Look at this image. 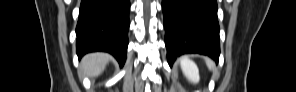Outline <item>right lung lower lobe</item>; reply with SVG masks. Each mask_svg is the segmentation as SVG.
Segmentation results:
<instances>
[{"label": "right lung lower lobe", "instance_id": "right-lung-lower-lobe-1", "mask_svg": "<svg viewBox=\"0 0 296 92\" xmlns=\"http://www.w3.org/2000/svg\"><path fill=\"white\" fill-rule=\"evenodd\" d=\"M129 9V0H82L76 27L78 57L104 51L123 66L128 46Z\"/></svg>", "mask_w": 296, "mask_h": 92}]
</instances>
